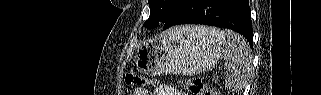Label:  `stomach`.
<instances>
[{
	"label": "stomach",
	"mask_w": 321,
	"mask_h": 95,
	"mask_svg": "<svg viewBox=\"0 0 321 95\" xmlns=\"http://www.w3.org/2000/svg\"><path fill=\"white\" fill-rule=\"evenodd\" d=\"M198 28H173L141 47L136 53L137 69L148 75H193L212 68L223 51L224 37Z\"/></svg>",
	"instance_id": "1"
}]
</instances>
